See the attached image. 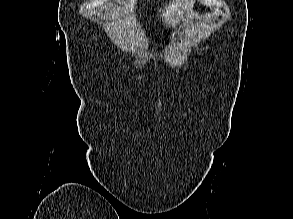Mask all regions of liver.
<instances>
[{"instance_id": "obj_1", "label": "liver", "mask_w": 293, "mask_h": 219, "mask_svg": "<svg viewBox=\"0 0 293 219\" xmlns=\"http://www.w3.org/2000/svg\"><path fill=\"white\" fill-rule=\"evenodd\" d=\"M193 2L194 0L170 1L169 6L162 11L165 23L173 26L178 21L183 20L191 12ZM122 12L123 9L117 5H110L105 9L106 21L104 25L110 38L117 46L125 50H131L134 44V31L129 24L126 22L124 27L121 28L108 22V18L114 20L116 16H120Z\"/></svg>"}]
</instances>
